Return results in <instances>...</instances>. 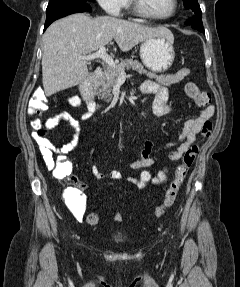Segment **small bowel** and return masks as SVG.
Segmentation results:
<instances>
[{
	"mask_svg": "<svg viewBox=\"0 0 240 287\" xmlns=\"http://www.w3.org/2000/svg\"><path fill=\"white\" fill-rule=\"evenodd\" d=\"M140 89L142 93L153 96L151 108L155 116H164L171 111L172 107L168 101L169 93L165 86L158 82L147 80L142 83ZM67 100L73 108L81 110V116L83 118H90L93 115V104L86 103V108L84 109L82 106V101L78 96H70ZM201 108L202 111L198 117L185 121L182 132L179 135L177 141L170 142L166 145V149L168 150L167 159L169 161L175 162L181 159L185 151L194 143L197 135L200 133V131H202L204 124L210 121V119L213 117L215 113L214 106L207 105ZM29 113L32 114L30 111ZM61 121L67 122L73 131L71 140L62 146L56 147L48 139L38 136L36 132L32 133L34 140L39 145L42 158L48 165H52L53 163V152L58 153L60 157L68 160L67 155L78 145V122L71 114L67 112H60L48 118L45 121V129L51 130L55 128ZM153 149V141L147 140L144 144L140 156L130 164V167L133 169L146 170L154 166L155 159L151 156ZM92 152L93 149L90 147L88 151L89 156L92 155ZM91 172L96 179H103L107 177L111 180H120L123 177V174L119 170H112L107 175H105L100 170L98 163L93 164ZM71 181L77 182V179L72 177ZM128 181L131 184L137 186V177L130 176L128 177ZM79 185L81 188L85 187L83 184ZM86 202V196L80 191H74L66 196V205L78 222H82L84 219L86 212Z\"/></svg>",
	"mask_w": 240,
	"mask_h": 287,
	"instance_id": "obj_1",
	"label": "small bowel"
}]
</instances>
